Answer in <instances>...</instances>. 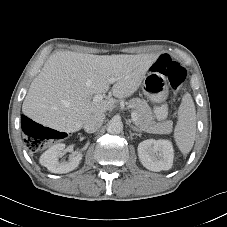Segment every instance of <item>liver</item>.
<instances>
[{
    "label": "liver",
    "instance_id": "6515ba94",
    "mask_svg": "<svg viewBox=\"0 0 227 227\" xmlns=\"http://www.w3.org/2000/svg\"><path fill=\"white\" fill-rule=\"evenodd\" d=\"M157 58L155 54L56 52L32 81L22 111L35 122L57 131L77 132L90 115L113 109L118 102L115 98L132 96ZM111 77L117 78L111 89L115 98L94 102V94L109 90Z\"/></svg>",
    "mask_w": 227,
    "mask_h": 227
}]
</instances>
